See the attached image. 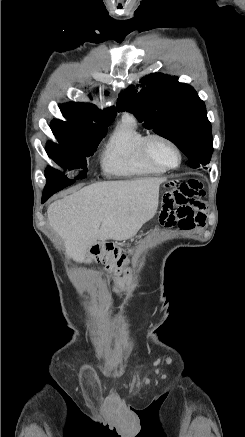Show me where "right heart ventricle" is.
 Listing matches in <instances>:
<instances>
[{"instance_id": "right-heart-ventricle-1", "label": "right heart ventricle", "mask_w": 245, "mask_h": 437, "mask_svg": "<svg viewBox=\"0 0 245 437\" xmlns=\"http://www.w3.org/2000/svg\"><path fill=\"white\" fill-rule=\"evenodd\" d=\"M145 134L130 116H124L107 144L103 167L120 176L159 175L166 170L148 161L141 150Z\"/></svg>"}]
</instances>
